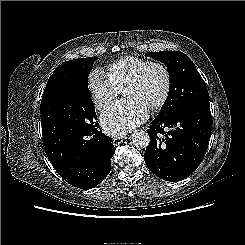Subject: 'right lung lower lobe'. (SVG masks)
I'll return each mask as SVG.
<instances>
[{
  "label": "right lung lower lobe",
  "instance_id": "obj_1",
  "mask_svg": "<svg viewBox=\"0 0 245 245\" xmlns=\"http://www.w3.org/2000/svg\"><path fill=\"white\" fill-rule=\"evenodd\" d=\"M98 128V122L88 128H42L49 161L66 182L77 188L91 189L111 171L113 141Z\"/></svg>",
  "mask_w": 245,
  "mask_h": 245
}]
</instances>
